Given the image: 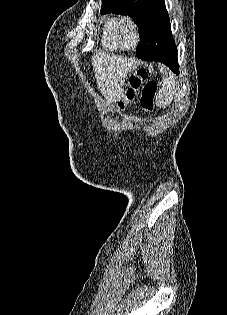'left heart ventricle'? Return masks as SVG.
<instances>
[{
  "label": "left heart ventricle",
  "instance_id": "obj_1",
  "mask_svg": "<svg viewBox=\"0 0 227 315\" xmlns=\"http://www.w3.org/2000/svg\"><path fill=\"white\" fill-rule=\"evenodd\" d=\"M122 40L126 46H130L134 42V35L130 27L125 26L122 32Z\"/></svg>",
  "mask_w": 227,
  "mask_h": 315
}]
</instances>
